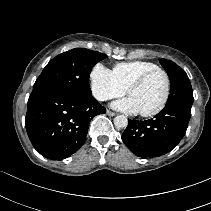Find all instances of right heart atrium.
Here are the masks:
<instances>
[{"label":"right heart atrium","instance_id":"obj_1","mask_svg":"<svg viewBox=\"0 0 211 211\" xmlns=\"http://www.w3.org/2000/svg\"><path fill=\"white\" fill-rule=\"evenodd\" d=\"M91 91L99 101H106L125 94L126 89L115 78L112 70L98 63L90 72Z\"/></svg>","mask_w":211,"mask_h":211}]
</instances>
